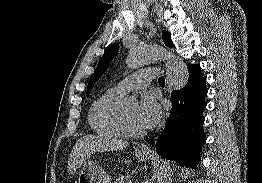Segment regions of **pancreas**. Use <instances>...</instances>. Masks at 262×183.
<instances>
[{
  "instance_id": "pancreas-1",
  "label": "pancreas",
  "mask_w": 262,
  "mask_h": 183,
  "mask_svg": "<svg viewBox=\"0 0 262 183\" xmlns=\"http://www.w3.org/2000/svg\"><path fill=\"white\" fill-rule=\"evenodd\" d=\"M131 178V175H120L114 183H132Z\"/></svg>"
}]
</instances>
